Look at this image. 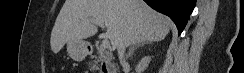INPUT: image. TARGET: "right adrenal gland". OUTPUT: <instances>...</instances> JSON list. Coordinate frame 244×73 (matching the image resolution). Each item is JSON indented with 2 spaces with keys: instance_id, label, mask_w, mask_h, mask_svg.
Masks as SVG:
<instances>
[{
  "instance_id": "1",
  "label": "right adrenal gland",
  "mask_w": 244,
  "mask_h": 73,
  "mask_svg": "<svg viewBox=\"0 0 244 73\" xmlns=\"http://www.w3.org/2000/svg\"><path fill=\"white\" fill-rule=\"evenodd\" d=\"M150 43L151 42H142V43H138L137 45H133L129 49L128 57L131 56L134 53V50L137 49L138 47H143L145 44H150Z\"/></svg>"
}]
</instances>
